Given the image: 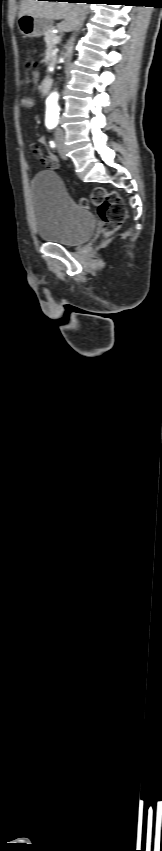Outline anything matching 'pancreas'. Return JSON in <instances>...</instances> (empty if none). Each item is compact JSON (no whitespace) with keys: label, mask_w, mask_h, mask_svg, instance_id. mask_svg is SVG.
Returning a JSON list of instances; mask_svg holds the SVG:
<instances>
[{"label":"pancreas","mask_w":162,"mask_h":851,"mask_svg":"<svg viewBox=\"0 0 162 851\" xmlns=\"http://www.w3.org/2000/svg\"><path fill=\"white\" fill-rule=\"evenodd\" d=\"M56 37H57V36H56V34H54V33L52 32V30H49V31L45 34L44 41H45L46 46H47L48 48L53 49V48L56 46V44H57V42H58V41H55V38H56Z\"/></svg>","instance_id":"obj_1"}]
</instances>
